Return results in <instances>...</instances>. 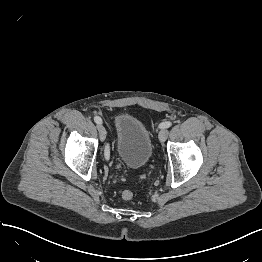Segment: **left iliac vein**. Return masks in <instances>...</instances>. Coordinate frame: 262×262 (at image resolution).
I'll use <instances>...</instances> for the list:
<instances>
[{"mask_svg": "<svg viewBox=\"0 0 262 262\" xmlns=\"http://www.w3.org/2000/svg\"><path fill=\"white\" fill-rule=\"evenodd\" d=\"M168 130L166 128H163L159 132V140L161 143H164L168 137Z\"/></svg>", "mask_w": 262, "mask_h": 262, "instance_id": "obj_1", "label": "left iliac vein"}]
</instances>
